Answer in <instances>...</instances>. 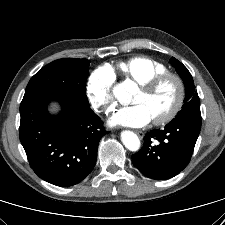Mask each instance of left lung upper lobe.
Wrapping results in <instances>:
<instances>
[{"label": "left lung upper lobe", "instance_id": "obj_1", "mask_svg": "<svg viewBox=\"0 0 225 225\" xmlns=\"http://www.w3.org/2000/svg\"><path fill=\"white\" fill-rule=\"evenodd\" d=\"M171 64L174 65L178 74L181 76L184 85H185V99L182 109L177 113L175 119H183L186 117H199L201 118L200 113V100L195 90L193 83V78L187 68L179 62L174 57L170 60Z\"/></svg>", "mask_w": 225, "mask_h": 225}]
</instances>
